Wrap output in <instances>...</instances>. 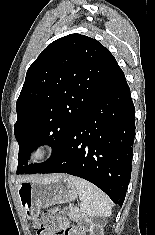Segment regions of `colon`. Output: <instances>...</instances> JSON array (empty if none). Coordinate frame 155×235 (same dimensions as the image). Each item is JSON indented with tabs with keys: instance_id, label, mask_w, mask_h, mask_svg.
<instances>
[{
	"instance_id": "colon-1",
	"label": "colon",
	"mask_w": 155,
	"mask_h": 235,
	"mask_svg": "<svg viewBox=\"0 0 155 235\" xmlns=\"http://www.w3.org/2000/svg\"><path fill=\"white\" fill-rule=\"evenodd\" d=\"M56 234H63V235H83L82 231L78 227H72L66 230L65 232H59ZM55 234V235H56ZM36 235H52V233L48 232L45 226L42 223H37L36 225Z\"/></svg>"
}]
</instances>
